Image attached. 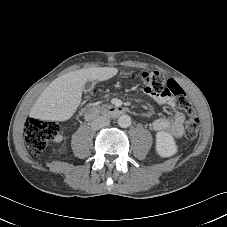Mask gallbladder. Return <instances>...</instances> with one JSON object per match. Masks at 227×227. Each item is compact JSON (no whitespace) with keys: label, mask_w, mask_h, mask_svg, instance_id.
Returning a JSON list of instances; mask_svg holds the SVG:
<instances>
[{"label":"gallbladder","mask_w":227,"mask_h":227,"mask_svg":"<svg viewBox=\"0 0 227 227\" xmlns=\"http://www.w3.org/2000/svg\"><path fill=\"white\" fill-rule=\"evenodd\" d=\"M94 86H95V82H94L93 80H88V81L84 84L83 90H84L85 92H89V91H91V90L94 88Z\"/></svg>","instance_id":"1"}]
</instances>
